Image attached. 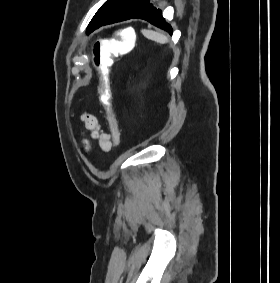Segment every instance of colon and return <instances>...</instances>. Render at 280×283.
Here are the masks:
<instances>
[{"instance_id":"1","label":"colon","mask_w":280,"mask_h":283,"mask_svg":"<svg viewBox=\"0 0 280 283\" xmlns=\"http://www.w3.org/2000/svg\"><path fill=\"white\" fill-rule=\"evenodd\" d=\"M120 37H105L104 40L96 41L92 46L93 64L97 72L98 90L102 104L107 110L108 120L116 122L111 108V91L109 86V71L113 64L112 55H128L135 47L137 37L133 25H120L118 30ZM114 139L120 141V134L115 130Z\"/></svg>"}]
</instances>
